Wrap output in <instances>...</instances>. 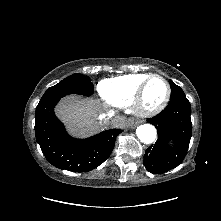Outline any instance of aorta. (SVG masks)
<instances>
[{
	"instance_id": "aorta-1",
	"label": "aorta",
	"mask_w": 221,
	"mask_h": 221,
	"mask_svg": "<svg viewBox=\"0 0 221 221\" xmlns=\"http://www.w3.org/2000/svg\"><path fill=\"white\" fill-rule=\"evenodd\" d=\"M136 134L139 140L145 144H151L156 139V128L151 124H143L137 127Z\"/></svg>"
}]
</instances>
